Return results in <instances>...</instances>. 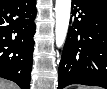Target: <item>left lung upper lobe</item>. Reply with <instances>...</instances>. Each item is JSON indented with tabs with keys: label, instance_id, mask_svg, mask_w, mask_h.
I'll use <instances>...</instances> for the list:
<instances>
[{
	"label": "left lung upper lobe",
	"instance_id": "obj_1",
	"mask_svg": "<svg viewBox=\"0 0 107 89\" xmlns=\"http://www.w3.org/2000/svg\"><path fill=\"white\" fill-rule=\"evenodd\" d=\"M91 1L107 5V0H91Z\"/></svg>",
	"mask_w": 107,
	"mask_h": 89
}]
</instances>
